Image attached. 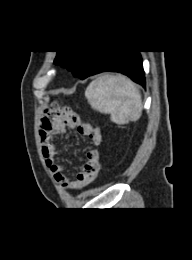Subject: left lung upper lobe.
<instances>
[{
	"label": "left lung upper lobe",
	"instance_id": "obj_1",
	"mask_svg": "<svg viewBox=\"0 0 192 260\" xmlns=\"http://www.w3.org/2000/svg\"><path fill=\"white\" fill-rule=\"evenodd\" d=\"M98 51H57L55 64L67 67L75 76L82 78Z\"/></svg>",
	"mask_w": 192,
	"mask_h": 260
}]
</instances>
